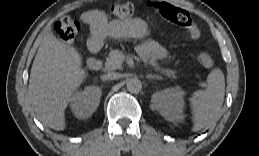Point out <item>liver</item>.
Returning a JSON list of instances; mask_svg holds the SVG:
<instances>
[{"mask_svg": "<svg viewBox=\"0 0 259 156\" xmlns=\"http://www.w3.org/2000/svg\"><path fill=\"white\" fill-rule=\"evenodd\" d=\"M86 76L78 51L58 40L47 26L32 64L28 86L29 99L38 119L54 130H64V111Z\"/></svg>", "mask_w": 259, "mask_h": 156, "instance_id": "liver-1", "label": "liver"}]
</instances>
